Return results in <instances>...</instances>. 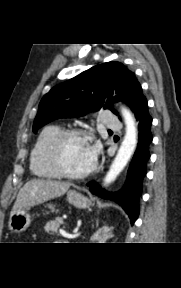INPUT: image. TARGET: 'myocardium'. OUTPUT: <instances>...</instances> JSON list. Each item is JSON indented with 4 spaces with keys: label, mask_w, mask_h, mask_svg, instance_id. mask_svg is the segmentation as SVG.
I'll use <instances>...</instances> for the list:
<instances>
[{
    "label": "myocardium",
    "mask_w": 181,
    "mask_h": 288,
    "mask_svg": "<svg viewBox=\"0 0 181 288\" xmlns=\"http://www.w3.org/2000/svg\"><path fill=\"white\" fill-rule=\"evenodd\" d=\"M71 138H81L88 142L90 134L81 129H67L60 131L50 147V162L60 176L70 179H82L90 175L96 169V161L93 159L91 166L83 172L70 171L63 161V149L65 143Z\"/></svg>",
    "instance_id": "f54148a6"
}]
</instances>
